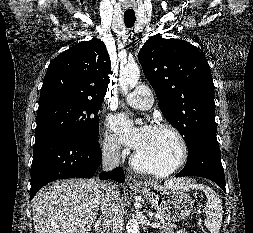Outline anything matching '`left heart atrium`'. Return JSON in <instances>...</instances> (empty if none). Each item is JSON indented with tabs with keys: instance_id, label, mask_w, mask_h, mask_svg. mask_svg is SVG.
<instances>
[{
	"instance_id": "39dd6f15",
	"label": "left heart atrium",
	"mask_w": 253,
	"mask_h": 233,
	"mask_svg": "<svg viewBox=\"0 0 253 233\" xmlns=\"http://www.w3.org/2000/svg\"><path fill=\"white\" fill-rule=\"evenodd\" d=\"M111 126L117 131L124 143L135 150L143 146L152 129L149 126L135 128L133 123L121 114L111 119Z\"/></svg>"
}]
</instances>
